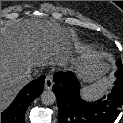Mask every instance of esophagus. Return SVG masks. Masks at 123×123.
Listing matches in <instances>:
<instances>
[{
  "label": "esophagus",
  "mask_w": 123,
  "mask_h": 123,
  "mask_svg": "<svg viewBox=\"0 0 123 123\" xmlns=\"http://www.w3.org/2000/svg\"><path fill=\"white\" fill-rule=\"evenodd\" d=\"M53 79L51 76L47 75L45 78V88L46 89H51L53 86Z\"/></svg>",
  "instance_id": "obj_1"
}]
</instances>
